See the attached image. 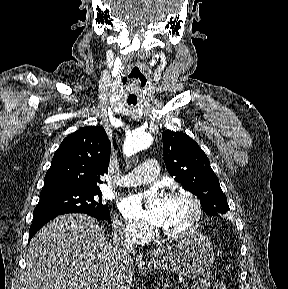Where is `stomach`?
Returning <instances> with one entry per match:
<instances>
[{
	"mask_svg": "<svg viewBox=\"0 0 288 289\" xmlns=\"http://www.w3.org/2000/svg\"><path fill=\"white\" fill-rule=\"evenodd\" d=\"M213 262L212 243L203 234L196 233L173 244L166 256L159 260H151L148 262V266L194 278L206 272Z\"/></svg>",
	"mask_w": 288,
	"mask_h": 289,
	"instance_id": "0dacf381",
	"label": "stomach"
}]
</instances>
